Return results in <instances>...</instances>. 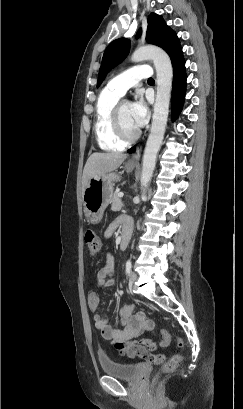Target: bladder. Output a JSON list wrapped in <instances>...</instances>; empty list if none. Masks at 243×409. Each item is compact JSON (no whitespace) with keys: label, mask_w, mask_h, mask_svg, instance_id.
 <instances>
[{"label":"bladder","mask_w":243,"mask_h":409,"mask_svg":"<svg viewBox=\"0 0 243 409\" xmlns=\"http://www.w3.org/2000/svg\"><path fill=\"white\" fill-rule=\"evenodd\" d=\"M100 366L106 375L123 380H135L141 372L139 364L122 363L111 359H101Z\"/></svg>","instance_id":"obj_1"}]
</instances>
